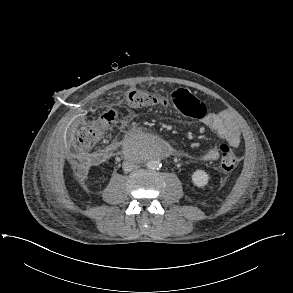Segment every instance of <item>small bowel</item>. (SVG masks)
Wrapping results in <instances>:
<instances>
[{
	"label": "small bowel",
	"instance_id": "1",
	"mask_svg": "<svg viewBox=\"0 0 293 293\" xmlns=\"http://www.w3.org/2000/svg\"><path fill=\"white\" fill-rule=\"evenodd\" d=\"M195 116L200 118L204 127L220 136L230 146L237 147L240 144L238 127L229 117L207 112L205 105L200 100L195 108ZM219 156L217 148H209L200 155V158L203 161L211 162L217 160Z\"/></svg>",
	"mask_w": 293,
	"mask_h": 293
}]
</instances>
